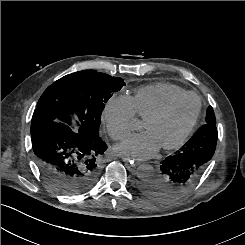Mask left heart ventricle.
<instances>
[{
  "label": "left heart ventricle",
  "instance_id": "left-heart-ventricle-1",
  "mask_svg": "<svg viewBox=\"0 0 245 245\" xmlns=\"http://www.w3.org/2000/svg\"><path fill=\"white\" fill-rule=\"evenodd\" d=\"M198 108L195 97H188L176 104L164 117L144 125L159 146L176 141L194 119Z\"/></svg>",
  "mask_w": 245,
  "mask_h": 245
}]
</instances>
